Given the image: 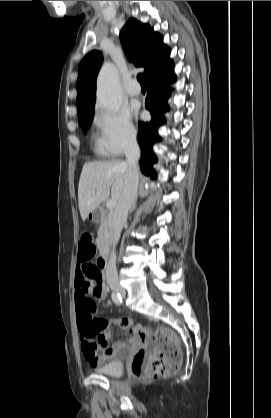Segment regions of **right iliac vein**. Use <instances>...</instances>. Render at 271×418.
Here are the masks:
<instances>
[{
    "instance_id": "63e3f726",
    "label": "right iliac vein",
    "mask_w": 271,
    "mask_h": 418,
    "mask_svg": "<svg viewBox=\"0 0 271 418\" xmlns=\"http://www.w3.org/2000/svg\"><path fill=\"white\" fill-rule=\"evenodd\" d=\"M113 290H114V292L119 293L121 295L125 294L124 289L120 286H117V285L113 286Z\"/></svg>"
}]
</instances>
